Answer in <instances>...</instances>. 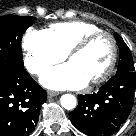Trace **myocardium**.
<instances>
[{
    "instance_id": "f54148a6",
    "label": "myocardium",
    "mask_w": 136,
    "mask_h": 136,
    "mask_svg": "<svg viewBox=\"0 0 136 136\" xmlns=\"http://www.w3.org/2000/svg\"><path fill=\"white\" fill-rule=\"evenodd\" d=\"M100 36H107L110 39L112 46V55L107 68L98 77L89 81L91 85H97L106 81L111 76L116 67L118 60V45L114 35L104 30L90 33L81 38L66 54V58L69 60L71 57L84 51L95 39Z\"/></svg>"
}]
</instances>
